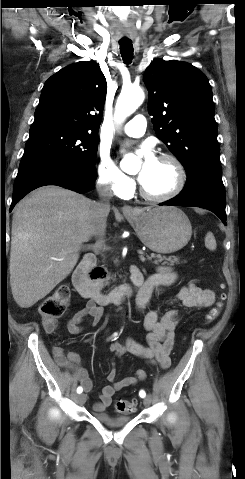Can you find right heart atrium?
Wrapping results in <instances>:
<instances>
[{
  "mask_svg": "<svg viewBox=\"0 0 245 479\" xmlns=\"http://www.w3.org/2000/svg\"><path fill=\"white\" fill-rule=\"evenodd\" d=\"M97 176L102 187L120 197L127 196L133 186V180L122 172L104 149L98 154Z\"/></svg>",
  "mask_w": 245,
  "mask_h": 479,
  "instance_id": "obj_1",
  "label": "right heart atrium"
}]
</instances>
